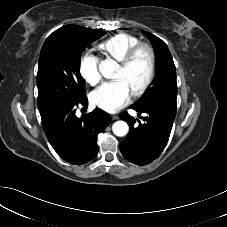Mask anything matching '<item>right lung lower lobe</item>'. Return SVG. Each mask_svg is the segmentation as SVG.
<instances>
[{"mask_svg": "<svg viewBox=\"0 0 227 227\" xmlns=\"http://www.w3.org/2000/svg\"><path fill=\"white\" fill-rule=\"evenodd\" d=\"M88 106L86 97L77 103L63 104L40 112L42 125L50 144L65 161L82 165L98 153L97 135L109 125L110 115L99 108L78 117Z\"/></svg>", "mask_w": 227, "mask_h": 227, "instance_id": "obj_1", "label": "right lung lower lobe"}]
</instances>
